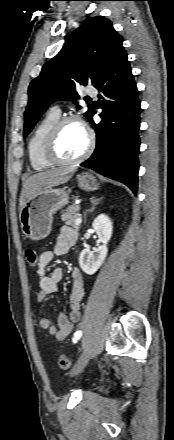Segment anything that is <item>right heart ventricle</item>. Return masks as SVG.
Returning a JSON list of instances; mask_svg holds the SVG:
<instances>
[{"label": "right heart ventricle", "instance_id": "right-heart-ventricle-1", "mask_svg": "<svg viewBox=\"0 0 174 440\" xmlns=\"http://www.w3.org/2000/svg\"><path fill=\"white\" fill-rule=\"evenodd\" d=\"M59 120V115L49 112L36 125L28 140V157L31 167L36 171H44L54 167L45 157V143L49 131Z\"/></svg>", "mask_w": 174, "mask_h": 440}]
</instances>
